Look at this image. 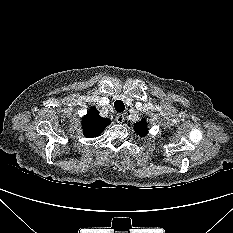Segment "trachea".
<instances>
[{
    "mask_svg": "<svg viewBox=\"0 0 233 233\" xmlns=\"http://www.w3.org/2000/svg\"><path fill=\"white\" fill-rule=\"evenodd\" d=\"M114 107H115V110L117 112H123L125 109V105H124L123 101H121V100L115 101Z\"/></svg>",
    "mask_w": 233,
    "mask_h": 233,
    "instance_id": "obj_1",
    "label": "trachea"
}]
</instances>
